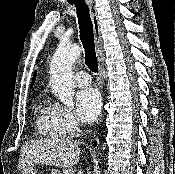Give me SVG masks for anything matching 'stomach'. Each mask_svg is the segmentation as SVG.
I'll return each instance as SVG.
<instances>
[{"instance_id":"1","label":"stomach","mask_w":175,"mask_h":174,"mask_svg":"<svg viewBox=\"0 0 175 174\" xmlns=\"http://www.w3.org/2000/svg\"><path fill=\"white\" fill-rule=\"evenodd\" d=\"M22 174H37L36 168L34 165L26 167ZM53 174H61L59 170H53Z\"/></svg>"}]
</instances>
